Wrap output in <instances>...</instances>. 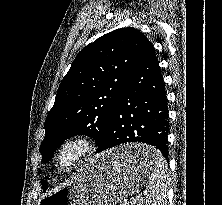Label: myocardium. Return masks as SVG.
<instances>
[{"label":"myocardium","mask_w":222,"mask_h":205,"mask_svg":"<svg viewBox=\"0 0 222 205\" xmlns=\"http://www.w3.org/2000/svg\"><path fill=\"white\" fill-rule=\"evenodd\" d=\"M94 146V140L87 134H75L64 141L58 146L56 150V162L60 168L69 169L77 166L87 156L90 155ZM71 151L72 155L65 158V153Z\"/></svg>","instance_id":"myocardium-1"}]
</instances>
